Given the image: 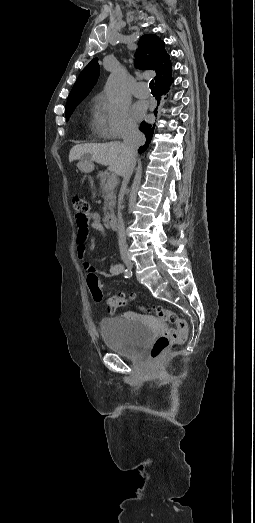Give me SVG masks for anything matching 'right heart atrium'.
<instances>
[{"label": "right heart atrium", "mask_w": 255, "mask_h": 523, "mask_svg": "<svg viewBox=\"0 0 255 523\" xmlns=\"http://www.w3.org/2000/svg\"><path fill=\"white\" fill-rule=\"evenodd\" d=\"M104 103L110 135L117 139L129 137L137 132V124L129 105L123 101L110 100L104 94L99 96Z\"/></svg>", "instance_id": "d8ad5b80"}]
</instances>
